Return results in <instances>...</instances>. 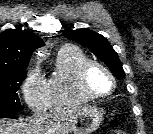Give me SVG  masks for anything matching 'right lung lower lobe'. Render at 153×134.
Masks as SVG:
<instances>
[{
    "instance_id": "1",
    "label": "right lung lower lobe",
    "mask_w": 153,
    "mask_h": 134,
    "mask_svg": "<svg viewBox=\"0 0 153 134\" xmlns=\"http://www.w3.org/2000/svg\"><path fill=\"white\" fill-rule=\"evenodd\" d=\"M0 118H16L15 113L0 112Z\"/></svg>"
}]
</instances>
